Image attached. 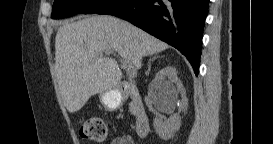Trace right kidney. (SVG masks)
Instances as JSON below:
<instances>
[{
  "label": "right kidney",
  "mask_w": 273,
  "mask_h": 144,
  "mask_svg": "<svg viewBox=\"0 0 273 144\" xmlns=\"http://www.w3.org/2000/svg\"><path fill=\"white\" fill-rule=\"evenodd\" d=\"M153 82L160 89V100L163 103H166L169 100H175L179 89L184 92L182 84L177 77V72L173 67H165L161 69L155 75ZM173 83L177 85V89ZM153 125L156 133L161 139L169 140L173 138L175 132L180 129L181 118L179 113H175L169 118L156 117Z\"/></svg>",
  "instance_id": "right-kidney-1"
}]
</instances>
